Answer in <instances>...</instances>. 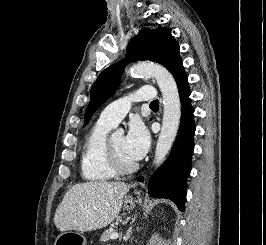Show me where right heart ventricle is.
<instances>
[{"mask_svg": "<svg viewBox=\"0 0 266 245\" xmlns=\"http://www.w3.org/2000/svg\"><path fill=\"white\" fill-rule=\"evenodd\" d=\"M113 125L97 120L86 135L80 162L81 177L84 181L101 185L116 178L106 165L104 146L107 134Z\"/></svg>", "mask_w": 266, "mask_h": 245, "instance_id": "1", "label": "right heart ventricle"}]
</instances>
